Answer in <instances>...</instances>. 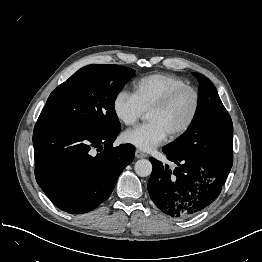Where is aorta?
Here are the masks:
<instances>
[{
    "mask_svg": "<svg viewBox=\"0 0 262 262\" xmlns=\"http://www.w3.org/2000/svg\"><path fill=\"white\" fill-rule=\"evenodd\" d=\"M135 172L140 177H147L152 172V164L147 159H140L135 163Z\"/></svg>",
    "mask_w": 262,
    "mask_h": 262,
    "instance_id": "aorta-1",
    "label": "aorta"
}]
</instances>
